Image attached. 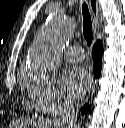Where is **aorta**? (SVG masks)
Masks as SVG:
<instances>
[{
    "mask_svg": "<svg viewBox=\"0 0 125 128\" xmlns=\"http://www.w3.org/2000/svg\"><path fill=\"white\" fill-rule=\"evenodd\" d=\"M73 30L71 20L56 16L38 31L29 56L35 76L44 80L55 78L61 49L71 38Z\"/></svg>",
    "mask_w": 125,
    "mask_h": 128,
    "instance_id": "1",
    "label": "aorta"
}]
</instances>
